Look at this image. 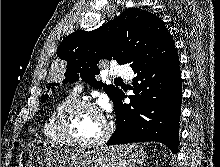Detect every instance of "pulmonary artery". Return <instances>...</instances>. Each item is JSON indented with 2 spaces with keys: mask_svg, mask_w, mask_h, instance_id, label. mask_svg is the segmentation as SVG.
<instances>
[{
  "mask_svg": "<svg viewBox=\"0 0 220 167\" xmlns=\"http://www.w3.org/2000/svg\"><path fill=\"white\" fill-rule=\"evenodd\" d=\"M111 73L117 77L129 78L132 75V70L126 65H118L111 70ZM80 90L81 88L77 87L75 92H79Z\"/></svg>",
  "mask_w": 220,
  "mask_h": 167,
  "instance_id": "pulmonary-artery-1",
  "label": "pulmonary artery"
}]
</instances>
